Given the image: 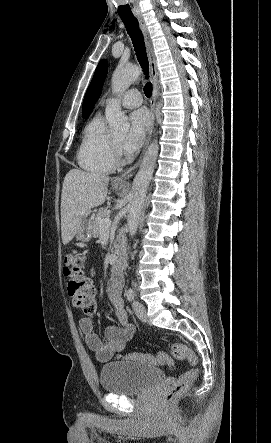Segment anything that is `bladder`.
Returning <instances> with one entry per match:
<instances>
[{"label": "bladder", "instance_id": "31cf9c89", "mask_svg": "<svg viewBox=\"0 0 271 443\" xmlns=\"http://www.w3.org/2000/svg\"><path fill=\"white\" fill-rule=\"evenodd\" d=\"M161 369L131 361H113L100 370V384L108 393L136 394L144 392L162 381Z\"/></svg>", "mask_w": 271, "mask_h": 443}]
</instances>
